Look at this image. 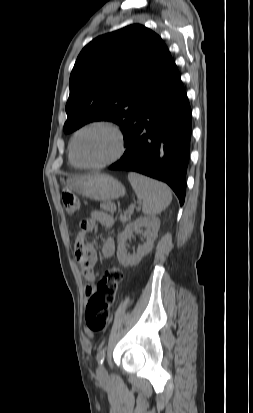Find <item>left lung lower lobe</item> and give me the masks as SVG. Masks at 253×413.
Instances as JSON below:
<instances>
[{"instance_id":"1","label":"left lung lower lobe","mask_w":253,"mask_h":413,"mask_svg":"<svg viewBox=\"0 0 253 413\" xmlns=\"http://www.w3.org/2000/svg\"><path fill=\"white\" fill-rule=\"evenodd\" d=\"M191 108L178 68L172 60L147 93L128 128L126 151L111 170L142 173L167 183L183 205L192 132Z\"/></svg>"}]
</instances>
